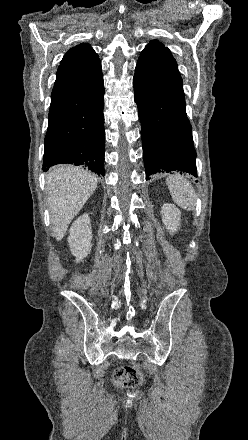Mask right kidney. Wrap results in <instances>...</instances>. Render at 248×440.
<instances>
[{"mask_svg": "<svg viewBox=\"0 0 248 440\" xmlns=\"http://www.w3.org/2000/svg\"><path fill=\"white\" fill-rule=\"evenodd\" d=\"M67 240L76 262L83 261L92 248V228L88 214L81 215L73 222Z\"/></svg>", "mask_w": 248, "mask_h": 440, "instance_id": "obj_1", "label": "right kidney"}]
</instances>
